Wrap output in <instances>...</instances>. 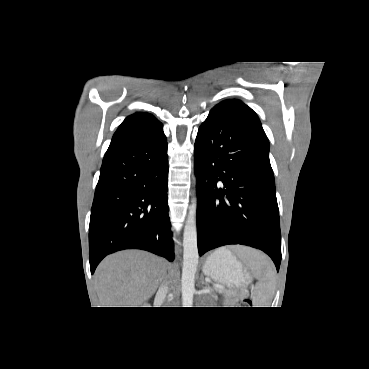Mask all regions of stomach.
Instances as JSON below:
<instances>
[{"instance_id":"obj_1","label":"stomach","mask_w":369,"mask_h":369,"mask_svg":"<svg viewBox=\"0 0 369 369\" xmlns=\"http://www.w3.org/2000/svg\"><path fill=\"white\" fill-rule=\"evenodd\" d=\"M203 272L216 282L229 287H240L251 280L241 262L226 248L216 250L207 258Z\"/></svg>"}]
</instances>
